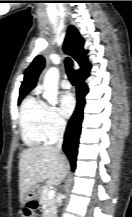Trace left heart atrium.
<instances>
[{
	"label": "left heart atrium",
	"mask_w": 132,
	"mask_h": 217,
	"mask_svg": "<svg viewBox=\"0 0 132 217\" xmlns=\"http://www.w3.org/2000/svg\"><path fill=\"white\" fill-rule=\"evenodd\" d=\"M75 109V98L74 96L67 92L62 94L60 97V113L64 117H70Z\"/></svg>",
	"instance_id": "39dd6f15"
}]
</instances>
